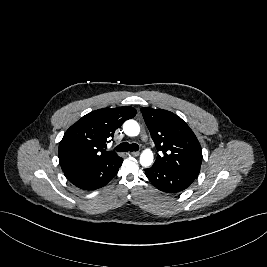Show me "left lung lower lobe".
I'll return each instance as SVG.
<instances>
[{"mask_svg": "<svg viewBox=\"0 0 267 267\" xmlns=\"http://www.w3.org/2000/svg\"><path fill=\"white\" fill-rule=\"evenodd\" d=\"M145 174L157 189L166 193L183 191L196 179L189 175L165 169L156 164L145 169Z\"/></svg>", "mask_w": 267, "mask_h": 267, "instance_id": "obj_1", "label": "left lung lower lobe"}]
</instances>
